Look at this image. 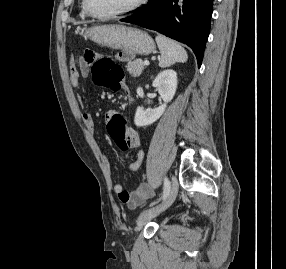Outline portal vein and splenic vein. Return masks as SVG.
I'll return each instance as SVG.
<instances>
[{"label":"portal vein and splenic vein","instance_id":"portal-vein-and-splenic-vein-1","mask_svg":"<svg viewBox=\"0 0 286 269\" xmlns=\"http://www.w3.org/2000/svg\"><path fill=\"white\" fill-rule=\"evenodd\" d=\"M144 65H149V61H148V60H145V61H144Z\"/></svg>","mask_w":286,"mask_h":269}]
</instances>
